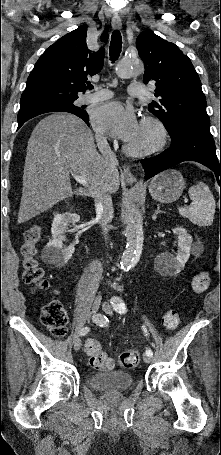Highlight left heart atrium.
<instances>
[{
    "mask_svg": "<svg viewBox=\"0 0 221 455\" xmlns=\"http://www.w3.org/2000/svg\"><path fill=\"white\" fill-rule=\"evenodd\" d=\"M92 122L96 129L124 141L132 140L140 126L134 110L119 102H109L96 107Z\"/></svg>",
    "mask_w": 221,
    "mask_h": 455,
    "instance_id": "obj_1",
    "label": "left heart atrium"
}]
</instances>
